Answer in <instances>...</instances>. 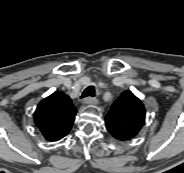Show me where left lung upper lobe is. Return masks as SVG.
Segmentation results:
<instances>
[{"label": "left lung upper lobe", "mask_w": 184, "mask_h": 173, "mask_svg": "<svg viewBox=\"0 0 184 173\" xmlns=\"http://www.w3.org/2000/svg\"><path fill=\"white\" fill-rule=\"evenodd\" d=\"M144 122V106L131 91L121 94L105 118L108 132L121 141L134 138Z\"/></svg>", "instance_id": "5c2ea615"}]
</instances>
